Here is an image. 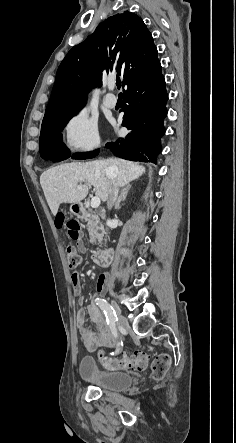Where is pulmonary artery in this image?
Wrapping results in <instances>:
<instances>
[{
  "instance_id": "pulmonary-artery-1",
  "label": "pulmonary artery",
  "mask_w": 236,
  "mask_h": 443,
  "mask_svg": "<svg viewBox=\"0 0 236 443\" xmlns=\"http://www.w3.org/2000/svg\"><path fill=\"white\" fill-rule=\"evenodd\" d=\"M108 88H109V90L106 93V95L103 97L102 102H103L104 106H106L107 108H114L116 106V99L113 97L115 83L110 82Z\"/></svg>"
}]
</instances>
